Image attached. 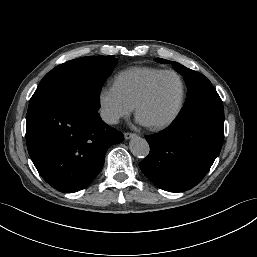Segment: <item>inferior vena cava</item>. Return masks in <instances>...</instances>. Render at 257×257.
Listing matches in <instances>:
<instances>
[{
	"label": "inferior vena cava",
	"instance_id": "inferior-vena-cava-1",
	"mask_svg": "<svg viewBox=\"0 0 257 257\" xmlns=\"http://www.w3.org/2000/svg\"><path fill=\"white\" fill-rule=\"evenodd\" d=\"M101 118L104 122L109 124H117L119 122L120 116L112 111L109 110H102L101 111Z\"/></svg>",
	"mask_w": 257,
	"mask_h": 257
}]
</instances>
